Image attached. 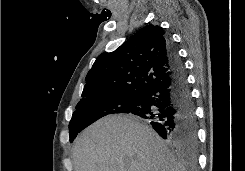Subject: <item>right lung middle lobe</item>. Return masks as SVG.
Returning a JSON list of instances; mask_svg holds the SVG:
<instances>
[{
	"mask_svg": "<svg viewBox=\"0 0 245 171\" xmlns=\"http://www.w3.org/2000/svg\"><path fill=\"white\" fill-rule=\"evenodd\" d=\"M140 103V96L126 95L80 101L69 123L70 142H73L79 132L99 118L109 114L129 113Z\"/></svg>",
	"mask_w": 245,
	"mask_h": 171,
	"instance_id": "right-lung-middle-lobe-1",
	"label": "right lung middle lobe"
}]
</instances>
